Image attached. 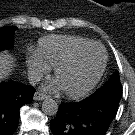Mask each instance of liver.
<instances>
[{"label": "liver", "instance_id": "1", "mask_svg": "<svg viewBox=\"0 0 135 135\" xmlns=\"http://www.w3.org/2000/svg\"><path fill=\"white\" fill-rule=\"evenodd\" d=\"M11 55L7 53H0V80L9 75L12 68Z\"/></svg>", "mask_w": 135, "mask_h": 135}]
</instances>
